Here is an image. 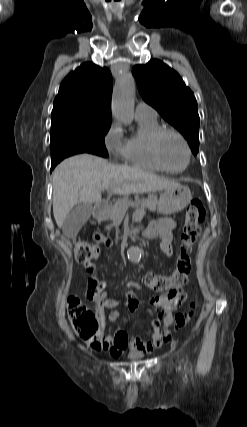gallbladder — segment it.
Here are the masks:
<instances>
[{
  "mask_svg": "<svg viewBox=\"0 0 247 427\" xmlns=\"http://www.w3.org/2000/svg\"><path fill=\"white\" fill-rule=\"evenodd\" d=\"M92 212V205L85 202L77 203L65 218L62 230L65 236L73 238L77 235L81 227L89 219Z\"/></svg>",
  "mask_w": 247,
  "mask_h": 427,
  "instance_id": "1",
  "label": "gallbladder"
}]
</instances>
